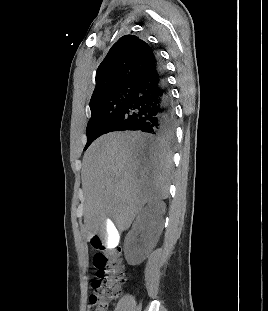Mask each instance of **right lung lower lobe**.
Masks as SVG:
<instances>
[{"label": "right lung lower lobe", "mask_w": 268, "mask_h": 311, "mask_svg": "<svg viewBox=\"0 0 268 311\" xmlns=\"http://www.w3.org/2000/svg\"><path fill=\"white\" fill-rule=\"evenodd\" d=\"M129 102L108 127L113 131H142L171 142L175 131L172 98L164 76V68L156 63L134 85Z\"/></svg>", "instance_id": "right-lung-lower-lobe-1"}]
</instances>
